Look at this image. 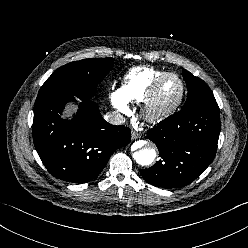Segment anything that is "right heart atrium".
Listing matches in <instances>:
<instances>
[{"label":"right heart atrium","instance_id":"obj_1","mask_svg":"<svg viewBox=\"0 0 248 248\" xmlns=\"http://www.w3.org/2000/svg\"><path fill=\"white\" fill-rule=\"evenodd\" d=\"M111 103L114 106V108L121 112V113H128L129 112V106L128 101L124 97L121 89H117L111 93L110 96Z\"/></svg>","mask_w":248,"mask_h":248}]
</instances>
